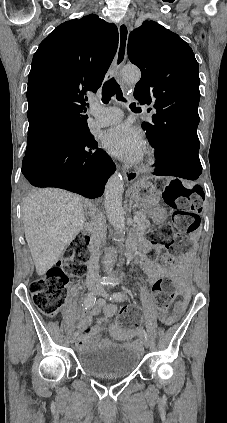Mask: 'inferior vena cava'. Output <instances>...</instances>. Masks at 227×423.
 Instances as JSON below:
<instances>
[{
    "instance_id": "602c4592",
    "label": "inferior vena cava",
    "mask_w": 227,
    "mask_h": 423,
    "mask_svg": "<svg viewBox=\"0 0 227 423\" xmlns=\"http://www.w3.org/2000/svg\"><path fill=\"white\" fill-rule=\"evenodd\" d=\"M104 219L100 215L93 217V229H91L90 237V259L88 263L87 281H99V255H100V243L103 239V233L101 231L103 227Z\"/></svg>"
}]
</instances>
